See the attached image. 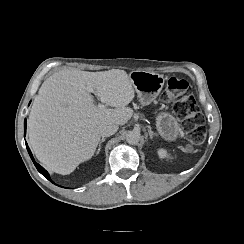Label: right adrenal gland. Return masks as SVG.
I'll return each instance as SVG.
<instances>
[{"mask_svg":"<svg viewBox=\"0 0 244 244\" xmlns=\"http://www.w3.org/2000/svg\"><path fill=\"white\" fill-rule=\"evenodd\" d=\"M103 142H105V137H104V136H102V140L99 142V146H98L97 154L100 152V150H101V144H102Z\"/></svg>","mask_w":244,"mask_h":244,"instance_id":"2a0ac1e0","label":"right adrenal gland"}]
</instances>
